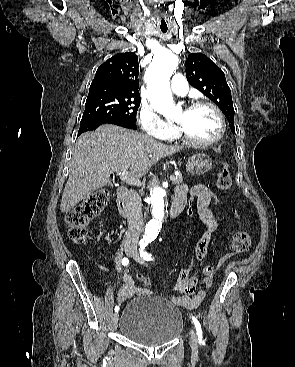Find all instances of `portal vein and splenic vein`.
<instances>
[{"instance_id":"obj_1","label":"portal vein and splenic vein","mask_w":295,"mask_h":367,"mask_svg":"<svg viewBox=\"0 0 295 367\" xmlns=\"http://www.w3.org/2000/svg\"><path fill=\"white\" fill-rule=\"evenodd\" d=\"M119 176H120V178H121L124 182H126V183H128V184H132V185H140V184H141L140 180H138L137 178H135V177H133V176L129 175V173H128V171H127V170H122V171L119 173ZM173 179H174V176H173V175H171V176H170V180H173Z\"/></svg>"}]
</instances>
